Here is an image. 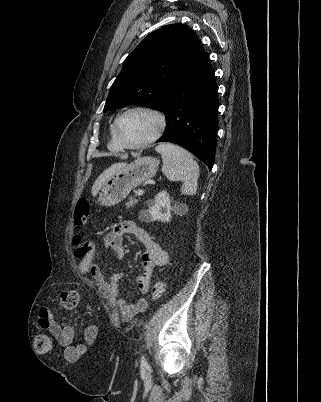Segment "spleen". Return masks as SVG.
<instances>
[{
  "instance_id": "spleen-1",
  "label": "spleen",
  "mask_w": 321,
  "mask_h": 402,
  "mask_svg": "<svg viewBox=\"0 0 321 402\" xmlns=\"http://www.w3.org/2000/svg\"><path fill=\"white\" fill-rule=\"evenodd\" d=\"M161 154L162 172L170 181H181L182 194L195 195L198 189L199 166L184 148L172 143H160L155 148Z\"/></svg>"
}]
</instances>
